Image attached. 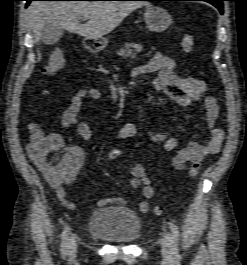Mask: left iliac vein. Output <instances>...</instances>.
Masks as SVG:
<instances>
[{
  "label": "left iliac vein",
  "mask_w": 247,
  "mask_h": 265,
  "mask_svg": "<svg viewBox=\"0 0 247 265\" xmlns=\"http://www.w3.org/2000/svg\"><path fill=\"white\" fill-rule=\"evenodd\" d=\"M171 244H172V237H171V234L167 232L164 238L162 239V243H161V252H162L163 257L165 258L171 257L172 255Z\"/></svg>",
  "instance_id": "obj_1"
}]
</instances>
